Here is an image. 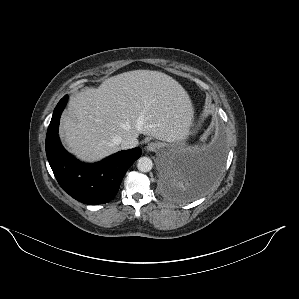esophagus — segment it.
<instances>
[{
	"label": "esophagus",
	"mask_w": 299,
	"mask_h": 299,
	"mask_svg": "<svg viewBox=\"0 0 299 299\" xmlns=\"http://www.w3.org/2000/svg\"><path fill=\"white\" fill-rule=\"evenodd\" d=\"M158 148H159V145L156 142H150L146 146V150L149 152H155L158 150Z\"/></svg>",
	"instance_id": "obj_1"
}]
</instances>
